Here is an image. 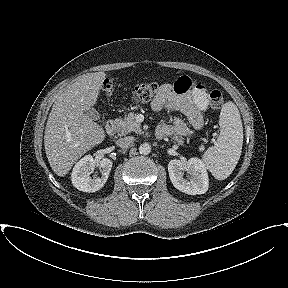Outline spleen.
I'll list each match as a JSON object with an SVG mask.
<instances>
[{
	"label": "spleen",
	"mask_w": 288,
	"mask_h": 288,
	"mask_svg": "<svg viewBox=\"0 0 288 288\" xmlns=\"http://www.w3.org/2000/svg\"><path fill=\"white\" fill-rule=\"evenodd\" d=\"M220 134L215 146L209 147L202 161L218 180H224L235 169L241 156L243 126L237 106L226 102L219 116Z\"/></svg>",
	"instance_id": "3e777b00"
}]
</instances>
